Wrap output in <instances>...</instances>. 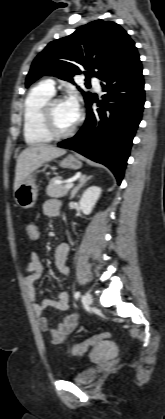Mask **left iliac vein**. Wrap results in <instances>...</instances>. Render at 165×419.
Instances as JSON below:
<instances>
[{
    "label": "left iliac vein",
    "mask_w": 165,
    "mask_h": 419,
    "mask_svg": "<svg viewBox=\"0 0 165 419\" xmlns=\"http://www.w3.org/2000/svg\"><path fill=\"white\" fill-rule=\"evenodd\" d=\"M84 302H85V304L88 307L93 303V297H92V295L89 292H87L85 294V296H84Z\"/></svg>",
    "instance_id": "left-iliac-vein-1"
}]
</instances>
